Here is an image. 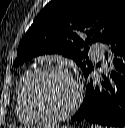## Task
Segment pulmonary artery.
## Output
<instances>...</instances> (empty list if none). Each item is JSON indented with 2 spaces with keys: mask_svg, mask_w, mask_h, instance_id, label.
Returning <instances> with one entry per match:
<instances>
[{
  "mask_svg": "<svg viewBox=\"0 0 125 128\" xmlns=\"http://www.w3.org/2000/svg\"><path fill=\"white\" fill-rule=\"evenodd\" d=\"M93 53L98 58H101L103 56V54H104L103 50L98 46H96V48L94 49Z\"/></svg>",
  "mask_w": 125,
  "mask_h": 128,
  "instance_id": "obj_1",
  "label": "pulmonary artery"
}]
</instances>
